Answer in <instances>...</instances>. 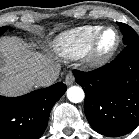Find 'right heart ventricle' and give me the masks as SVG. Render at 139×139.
<instances>
[{"instance_id": "right-heart-ventricle-1", "label": "right heart ventricle", "mask_w": 139, "mask_h": 139, "mask_svg": "<svg viewBox=\"0 0 139 139\" xmlns=\"http://www.w3.org/2000/svg\"><path fill=\"white\" fill-rule=\"evenodd\" d=\"M101 25H85L61 33L52 42L53 50L63 58L78 59L85 56L90 43Z\"/></svg>"}]
</instances>
